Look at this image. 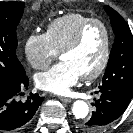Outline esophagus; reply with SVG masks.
Masks as SVG:
<instances>
[{"instance_id":"esophagus-1","label":"esophagus","mask_w":133,"mask_h":133,"mask_svg":"<svg viewBox=\"0 0 133 133\" xmlns=\"http://www.w3.org/2000/svg\"><path fill=\"white\" fill-rule=\"evenodd\" d=\"M59 99L62 101V102H65V103H69L71 102L72 100L68 97H59Z\"/></svg>"}]
</instances>
